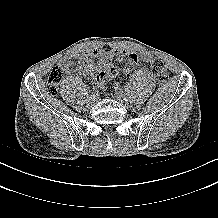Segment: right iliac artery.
Masks as SVG:
<instances>
[{
    "instance_id": "right-iliac-artery-1",
    "label": "right iliac artery",
    "mask_w": 218,
    "mask_h": 218,
    "mask_svg": "<svg viewBox=\"0 0 218 218\" xmlns=\"http://www.w3.org/2000/svg\"><path fill=\"white\" fill-rule=\"evenodd\" d=\"M88 93H89L90 95H91V94H96V91H95V90H93V91L90 90Z\"/></svg>"
}]
</instances>
